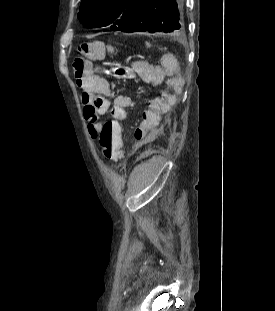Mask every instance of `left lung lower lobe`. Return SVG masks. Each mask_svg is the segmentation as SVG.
<instances>
[{
    "mask_svg": "<svg viewBox=\"0 0 275 311\" xmlns=\"http://www.w3.org/2000/svg\"><path fill=\"white\" fill-rule=\"evenodd\" d=\"M183 30L181 0H143L122 27L114 31L179 33Z\"/></svg>",
    "mask_w": 275,
    "mask_h": 311,
    "instance_id": "left-lung-lower-lobe-1",
    "label": "left lung lower lobe"
}]
</instances>
